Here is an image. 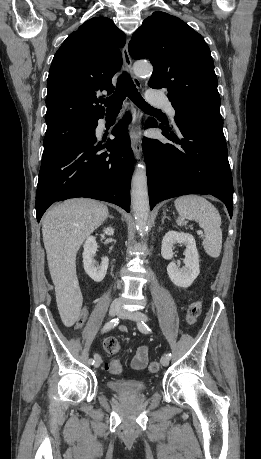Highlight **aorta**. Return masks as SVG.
Listing matches in <instances>:
<instances>
[{"label": "aorta", "instance_id": "762f6f07", "mask_svg": "<svg viewBox=\"0 0 261 459\" xmlns=\"http://www.w3.org/2000/svg\"><path fill=\"white\" fill-rule=\"evenodd\" d=\"M134 73L139 77H150L153 67L149 63L136 62L133 66ZM131 203L136 222V228L140 236L148 231L149 198L146 166L144 163L137 165L131 184Z\"/></svg>", "mask_w": 261, "mask_h": 459}]
</instances>
